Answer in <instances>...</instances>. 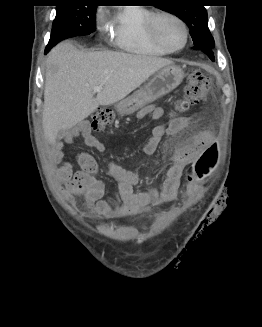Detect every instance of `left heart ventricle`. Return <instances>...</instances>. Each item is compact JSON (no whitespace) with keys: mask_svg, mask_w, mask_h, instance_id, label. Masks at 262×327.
<instances>
[{"mask_svg":"<svg viewBox=\"0 0 262 327\" xmlns=\"http://www.w3.org/2000/svg\"><path fill=\"white\" fill-rule=\"evenodd\" d=\"M158 29L164 41L173 48L180 47L184 42V29L174 19L162 17L158 22Z\"/></svg>","mask_w":262,"mask_h":327,"instance_id":"left-heart-ventricle-1","label":"left heart ventricle"}]
</instances>
